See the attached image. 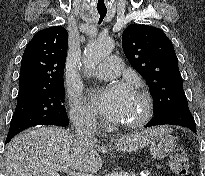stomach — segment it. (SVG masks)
Here are the masks:
<instances>
[{"label": "stomach", "instance_id": "0dacf381", "mask_svg": "<svg viewBox=\"0 0 205 176\" xmlns=\"http://www.w3.org/2000/svg\"><path fill=\"white\" fill-rule=\"evenodd\" d=\"M176 147V139L169 131H159L150 143L151 156L155 159L166 157Z\"/></svg>", "mask_w": 205, "mask_h": 176}]
</instances>
